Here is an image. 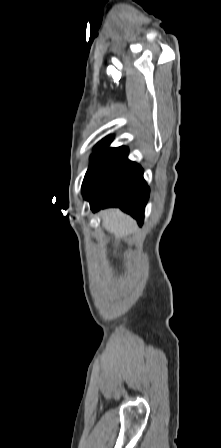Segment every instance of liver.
<instances>
[{
    "mask_svg": "<svg viewBox=\"0 0 221 448\" xmlns=\"http://www.w3.org/2000/svg\"><path fill=\"white\" fill-rule=\"evenodd\" d=\"M104 228L114 234L115 240H120L130 234L136 224L135 221L119 209H106L101 212Z\"/></svg>",
    "mask_w": 221,
    "mask_h": 448,
    "instance_id": "6515ba94",
    "label": "liver"
}]
</instances>
